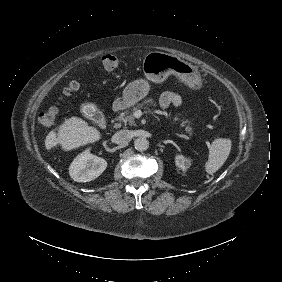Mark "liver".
Instances as JSON below:
<instances>
[{
    "label": "liver",
    "instance_id": "liver-1",
    "mask_svg": "<svg viewBox=\"0 0 282 282\" xmlns=\"http://www.w3.org/2000/svg\"><path fill=\"white\" fill-rule=\"evenodd\" d=\"M100 138L101 134L96 128L89 126L81 118L71 117L65 119L58 128L48 133L45 147L50 150L60 144L62 149L68 151L98 141Z\"/></svg>",
    "mask_w": 282,
    "mask_h": 282
}]
</instances>
